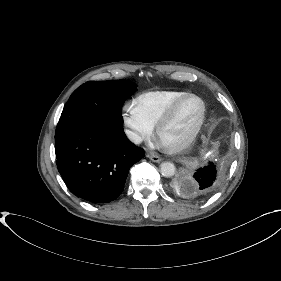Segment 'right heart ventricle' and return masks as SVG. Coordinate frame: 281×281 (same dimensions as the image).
Masks as SVG:
<instances>
[{
	"instance_id": "e07e8e85",
	"label": "right heart ventricle",
	"mask_w": 281,
	"mask_h": 281,
	"mask_svg": "<svg viewBox=\"0 0 281 281\" xmlns=\"http://www.w3.org/2000/svg\"><path fill=\"white\" fill-rule=\"evenodd\" d=\"M186 94L176 90L149 91L137 96L135 103L146 122L154 128L168 108Z\"/></svg>"
}]
</instances>
